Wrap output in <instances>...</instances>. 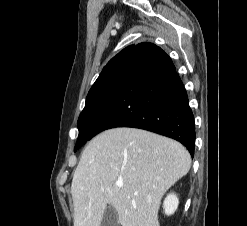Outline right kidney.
Listing matches in <instances>:
<instances>
[{"label":"right kidney","mask_w":247,"mask_h":226,"mask_svg":"<svg viewBox=\"0 0 247 226\" xmlns=\"http://www.w3.org/2000/svg\"><path fill=\"white\" fill-rule=\"evenodd\" d=\"M178 204H179V200L174 193H170L169 195H167L163 203V208L165 210V213L167 215L173 214L176 211Z\"/></svg>","instance_id":"right-kidney-1"}]
</instances>
